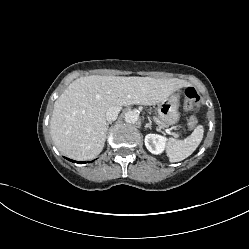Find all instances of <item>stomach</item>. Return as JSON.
Wrapping results in <instances>:
<instances>
[{"label":"stomach","mask_w":249,"mask_h":249,"mask_svg":"<svg viewBox=\"0 0 249 249\" xmlns=\"http://www.w3.org/2000/svg\"><path fill=\"white\" fill-rule=\"evenodd\" d=\"M178 95H170L158 104V115L166 125H174L180 119Z\"/></svg>","instance_id":"1"}]
</instances>
